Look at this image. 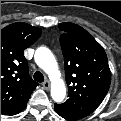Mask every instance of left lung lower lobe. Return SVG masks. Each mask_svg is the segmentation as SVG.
<instances>
[{
	"mask_svg": "<svg viewBox=\"0 0 121 121\" xmlns=\"http://www.w3.org/2000/svg\"><path fill=\"white\" fill-rule=\"evenodd\" d=\"M55 106H56V104H55ZM55 111L57 112V109H56V107H55ZM57 114H58V112H57Z\"/></svg>",
	"mask_w": 121,
	"mask_h": 121,
	"instance_id": "left-lung-lower-lobe-1",
	"label": "left lung lower lobe"
}]
</instances>
